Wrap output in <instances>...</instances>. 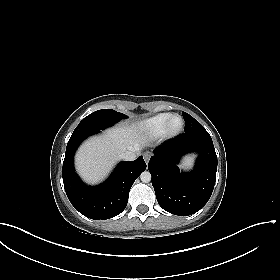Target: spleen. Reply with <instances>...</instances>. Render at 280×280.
Listing matches in <instances>:
<instances>
[{
	"label": "spleen",
	"mask_w": 280,
	"mask_h": 280,
	"mask_svg": "<svg viewBox=\"0 0 280 280\" xmlns=\"http://www.w3.org/2000/svg\"><path fill=\"white\" fill-rule=\"evenodd\" d=\"M185 164H187V165H189L190 164V161L188 160V161H186V163Z\"/></svg>",
	"instance_id": "obj_1"
}]
</instances>
